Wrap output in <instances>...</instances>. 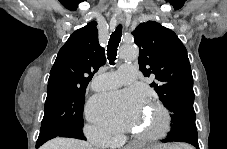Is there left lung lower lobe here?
I'll list each match as a JSON object with an SVG mask.
<instances>
[{"instance_id": "1", "label": "left lung lower lobe", "mask_w": 227, "mask_h": 149, "mask_svg": "<svg viewBox=\"0 0 227 149\" xmlns=\"http://www.w3.org/2000/svg\"><path fill=\"white\" fill-rule=\"evenodd\" d=\"M162 142H186L199 149L198 133L196 126H185L182 128H172L167 137Z\"/></svg>"}]
</instances>
